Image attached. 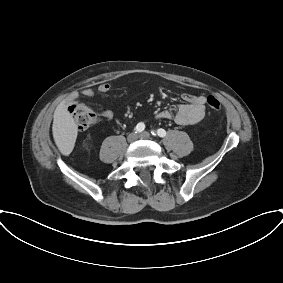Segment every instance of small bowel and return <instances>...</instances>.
Returning a JSON list of instances; mask_svg holds the SVG:
<instances>
[{
	"label": "small bowel",
	"instance_id": "1",
	"mask_svg": "<svg viewBox=\"0 0 283 283\" xmlns=\"http://www.w3.org/2000/svg\"><path fill=\"white\" fill-rule=\"evenodd\" d=\"M110 89L111 86L108 83H102L97 87L100 94H106ZM80 95L86 99H91L94 97L95 91L91 88H84L81 90ZM181 97L184 103L178 106L175 115L169 110H162L157 113V117L166 120L174 119L180 125H194L200 122L205 116L206 97L190 93H183ZM71 100L79 103V95L73 94ZM100 116L110 121L114 118V113L111 110H104L100 113Z\"/></svg>",
	"mask_w": 283,
	"mask_h": 283
}]
</instances>
